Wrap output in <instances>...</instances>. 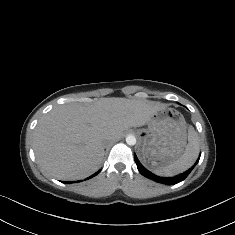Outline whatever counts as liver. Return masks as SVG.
<instances>
[{
	"mask_svg": "<svg viewBox=\"0 0 235 235\" xmlns=\"http://www.w3.org/2000/svg\"><path fill=\"white\" fill-rule=\"evenodd\" d=\"M165 107L147 99L125 98H103L90 106H58L34 129L36 161L42 172L56 179L86 178L102 163L106 140L145 125L154 112Z\"/></svg>",
	"mask_w": 235,
	"mask_h": 235,
	"instance_id": "liver-1",
	"label": "liver"
}]
</instances>
